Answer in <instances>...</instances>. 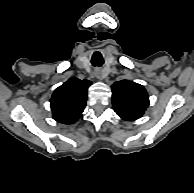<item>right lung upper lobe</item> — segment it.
<instances>
[{
	"label": "right lung upper lobe",
	"mask_w": 194,
	"mask_h": 193,
	"mask_svg": "<svg viewBox=\"0 0 194 193\" xmlns=\"http://www.w3.org/2000/svg\"><path fill=\"white\" fill-rule=\"evenodd\" d=\"M90 85L88 80L70 78L58 87L50 100L53 118L63 124L77 121L85 108L86 92Z\"/></svg>",
	"instance_id": "1"
}]
</instances>
